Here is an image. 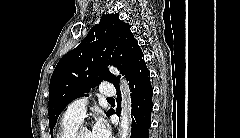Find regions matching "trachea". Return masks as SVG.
<instances>
[{"mask_svg": "<svg viewBox=\"0 0 240 138\" xmlns=\"http://www.w3.org/2000/svg\"><path fill=\"white\" fill-rule=\"evenodd\" d=\"M107 100H108V101H112V100H114V99H113V98H107Z\"/></svg>", "mask_w": 240, "mask_h": 138, "instance_id": "1", "label": "trachea"}]
</instances>
